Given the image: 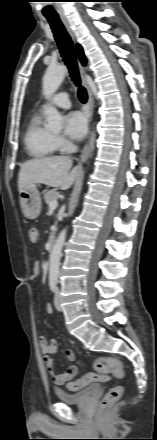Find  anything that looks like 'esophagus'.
<instances>
[{"label": "esophagus", "mask_w": 157, "mask_h": 440, "mask_svg": "<svg viewBox=\"0 0 157 440\" xmlns=\"http://www.w3.org/2000/svg\"><path fill=\"white\" fill-rule=\"evenodd\" d=\"M62 22L64 24V26L66 27L68 33L70 34V36L74 39V34L73 31L67 21L66 18H62ZM79 70H80V75H81V79L83 82V85L85 86L86 90H87V94H88V101L87 104L85 106V113L87 115L88 121H91V117H92V111H93V106H94V98H93V94H92V90L90 88V85L88 83L87 80V73H86V69L84 66L81 65V63L79 62ZM89 156V145L86 144L81 152L80 155V162H84L87 160Z\"/></svg>", "instance_id": "obj_1"}]
</instances>
